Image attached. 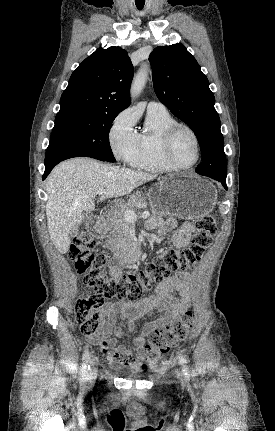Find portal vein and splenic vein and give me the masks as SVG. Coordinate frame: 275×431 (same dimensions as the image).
<instances>
[{"label": "portal vein and splenic vein", "mask_w": 275, "mask_h": 431, "mask_svg": "<svg viewBox=\"0 0 275 431\" xmlns=\"http://www.w3.org/2000/svg\"><path fill=\"white\" fill-rule=\"evenodd\" d=\"M103 193H104L103 190H98L97 191L98 195H102ZM149 216H150V213L148 211H144L141 214V217L144 218V219L148 218ZM124 217L128 221H135L137 219V214L135 213L134 210H125Z\"/></svg>", "instance_id": "obj_1"}]
</instances>
